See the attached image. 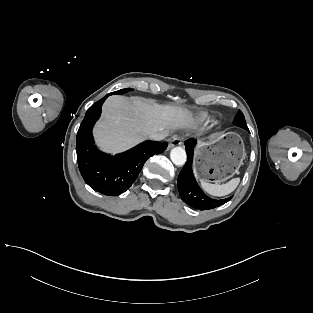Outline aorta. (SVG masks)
I'll return each instance as SVG.
<instances>
[{"instance_id": "aorta-1", "label": "aorta", "mask_w": 313, "mask_h": 313, "mask_svg": "<svg viewBox=\"0 0 313 313\" xmlns=\"http://www.w3.org/2000/svg\"><path fill=\"white\" fill-rule=\"evenodd\" d=\"M170 158L175 165H184L187 159L185 149H183L182 147H174L170 152Z\"/></svg>"}]
</instances>
